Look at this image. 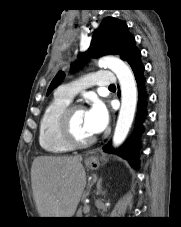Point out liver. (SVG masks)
I'll list each match as a JSON object with an SVG mask.
<instances>
[{"label":"liver","mask_w":181,"mask_h":227,"mask_svg":"<svg viewBox=\"0 0 181 227\" xmlns=\"http://www.w3.org/2000/svg\"><path fill=\"white\" fill-rule=\"evenodd\" d=\"M82 156H40L31 168L33 197L41 217H72L86 185Z\"/></svg>","instance_id":"obj_1"}]
</instances>
